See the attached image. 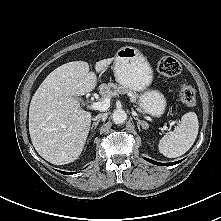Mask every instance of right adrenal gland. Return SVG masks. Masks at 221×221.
<instances>
[{
    "mask_svg": "<svg viewBox=\"0 0 221 221\" xmlns=\"http://www.w3.org/2000/svg\"><path fill=\"white\" fill-rule=\"evenodd\" d=\"M98 124H99V121L94 122V123L92 124V126H91L90 130L92 131V130H93V128H94V130H95V129L97 128Z\"/></svg>",
    "mask_w": 221,
    "mask_h": 221,
    "instance_id": "2a0ac1e0",
    "label": "right adrenal gland"
}]
</instances>
